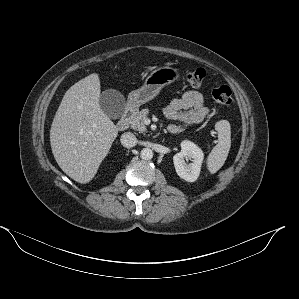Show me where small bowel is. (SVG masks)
Masks as SVG:
<instances>
[{
	"mask_svg": "<svg viewBox=\"0 0 299 299\" xmlns=\"http://www.w3.org/2000/svg\"><path fill=\"white\" fill-rule=\"evenodd\" d=\"M209 113L203 94L196 90H189L181 97L172 99L164 108L165 116L177 122L169 126L174 133L181 132L189 125L201 123Z\"/></svg>",
	"mask_w": 299,
	"mask_h": 299,
	"instance_id": "1",
	"label": "small bowel"
}]
</instances>
